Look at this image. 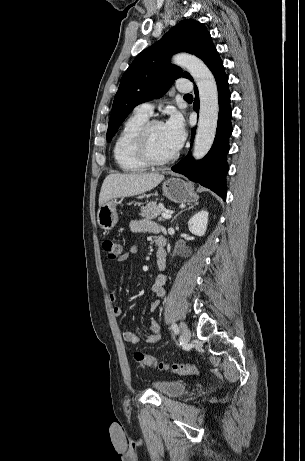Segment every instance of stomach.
I'll return each instance as SVG.
<instances>
[{"label": "stomach", "instance_id": "stomach-1", "mask_svg": "<svg viewBox=\"0 0 305 461\" xmlns=\"http://www.w3.org/2000/svg\"><path fill=\"white\" fill-rule=\"evenodd\" d=\"M164 196L175 203L195 202L197 194L191 184L180 178L171 177L162 184ZM118 222L116 201H108L97 212V223L104 230H111Z\"/></svg>", "mask_w": 305, "mask_h": 461}]
</instances>
